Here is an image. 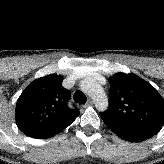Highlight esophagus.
Returning <instances> with one entry per match:
<instances>
[{
	"label": "esophagus",
	"mask_w": 164,
	"mask_h": 164,
	"mask_svg": "<svg viewBox=\"0 0 164 164\" xmlns=\"http://www.w3.org/2000/svg\"><path fill=\"white\" fill-rule=\"evenodd\" d=\"M94 104L93 100H88V102L84 105V108L92 106Z\"/></svg>",
	"instance_id": "34e87169"
}]
</instances>
